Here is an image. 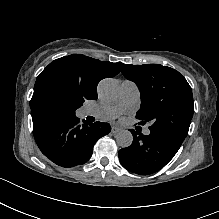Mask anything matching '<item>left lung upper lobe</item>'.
<instances>
[{
    "mask_svg": "<svg viewBox=\"0 0 219 219\" xmlns=\"http://www.w3.org/2000/svg\"><path fill=\"white\" fill-rule=\"evenodd\" d=\"M122 74L139 87V124L150 122V131L182 143L194 113L192 90L186 79L175 69L159 64H126Z\"/></svg>",
    "mask_w": 219,
    "mask_h": 219,
    "instance_id": "5c2ea615",
    "label": "left lung upper lobe"
}]
</instances>
